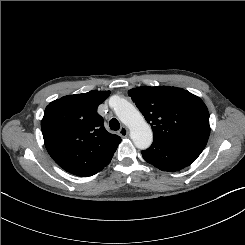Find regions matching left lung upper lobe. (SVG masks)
<instances>
[{"mask_svg":"<svg viewBox=\"0 0 245 245\" xmlns=\"http://www.w3.org/2000/svg\"><path fill=\"white\" fill-rule=\"evenodd\" d=\"M154 139L201 153L209 134V112L204 102L187 90L169 86H143L129 90Z\"/></svg>","mask_w":245,"mask_h":245,"instance_id":"5c2ea615","label":"left lung upper lobe"}]
</instances>
